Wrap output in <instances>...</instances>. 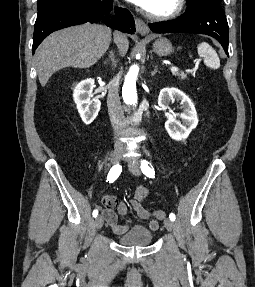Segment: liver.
I'll return each mask as SVG.
<instances>
[{
    "label": "liver",
    "mask_w": 255,
    "mask_h": 287,
    "mask_svg": "<svg viewBox=\"0 0 255 287\" xmlns=\"http://www.w3.org/2000/svg\"><path fill=\"white\" fill-rule=\"evenodd\" d=\"M111 30L98 24L73 26L48 36L36 50V66L41 86H46L52 74L62 68H90L111 42ZM114 42L120 56H126L129 42L123 34H116Z\"/></svg>",
    "instance_id": "1"
}]
</instances>
